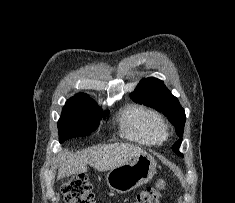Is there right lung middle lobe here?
<instances>
[{
    "label": "right lung middle lobe",
    "mask_w": 235,
    "mask_h": 203,
    "mask_svg": "<svg viewBox=\"0 0 235 203\" xmlns=\"http://www.w3.org/2000/svg\"><path fill=\"white\" fill-rule=\"evenodd\" d=\"M101 115V109L86 94L69 99L58 121L60 143L72 137L90 135L97 129Z\"/></svg>",
    "instance_id": "obj_1"
}]
</instances>
